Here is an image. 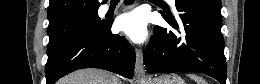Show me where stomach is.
Wrapping results in <instances>:
<instances>
[{
    "instance_id": "obj_1",
    "label": "stomach",
    "mask_w": 260,
    "mask_h": 84,
    "mask_svg": "<svg viewBox=\"0 0 260 84\" xmlns=\"http://www.w3.org/2000/svg\"><path fill=\"white\" fill-rule=\"evenodd\" d=\"M148 84H185V81L177 74H163L152 79Z\"/></svg>"
}]
</instances>
